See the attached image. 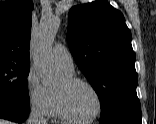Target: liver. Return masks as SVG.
<instances>
[{
    "instance_id": "6515ba94",
    "label": "liver",
    "mask_w": 156,
    "mask_h": 124,
    "mask_svg": "<svg viewBox=\"0 0 156 124\" xmlns=\"http://www.w3.org/2000/svg\"><path fill=\"white\" fill-rule=\"evenodd\" d=\"M0 124H12L9 121L0 119Z\"/></svg>"
}]
</instances>
